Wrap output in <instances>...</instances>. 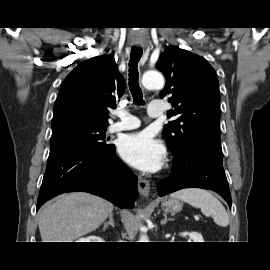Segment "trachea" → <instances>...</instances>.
I'll return each mask as SVG.
<instances>
[{"label":"trachea","instance_id":"obj_1","mask_svg":"<svg viewBox=\"0 0 270 270\" xmlns=\"http://www.w3.org/2000/svg\"><path fill=\"white\" fill-rule=\"evenodd\" d=\"M142 48H131L130 61H129V89L131 91L134 104L135 105H144L145 102L143 100V94L141 92V88L139 87L138 82V62L142 56Z\"/></svg>","mask_w":270,"mask_h":270}]
</instances>
